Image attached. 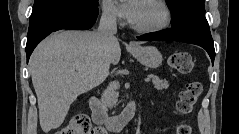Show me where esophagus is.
Listing matches in <instances>:
<instances>
[{
    "instance_id": "esophagus-1",
    "label": "esophagus",
    "mask_w": 239,
    "mask_h": 134,
    "mask_svg": "<svg viewBox=\"0 0 239 134\" xmlns=\"http://www.w3.org/2000/svg\"><path fill=\"white\" fill-rule=\"evenodd\" d=\"M129 47H136V43L134 41H130Z\"/></svg>"
}]
</instances>
